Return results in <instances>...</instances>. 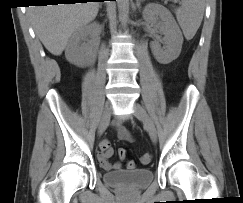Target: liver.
I'll return each mask as SVG.
<instances>
[{"instance_id":"obj_1","label":"liver","mask_w":243,"mask_h":203,"mask_svg":"<svg viewBox=\"0 0 243 203\" xmlns=\"http://www.w3.org/2000/svg\"><path fill=\"white\" fill-rule=\"evenodd\" d=\"M99 2L32 6L29 15L36 35L53 55H60L71 35L92 21Z\"/></svg>"}]
</instances>
